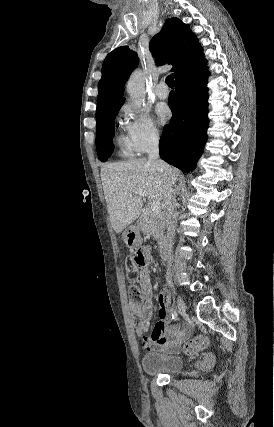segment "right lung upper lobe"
Returning a JSON list of instances; mask_svg holds the SVG:
<instances>
[{
	"mask_svg": "<svg viewBox=\"0 0 274 427\" xmlns=\"http://www.w3.org/2000/svg\"><path fill=\"white\" fill-rule=\"evenodd\" d=\"M150 51L160 65L172 64L175 80L206 60L197 37L178 18L166 20L162 30L150 42ZM137 53L128 46L114 49L103 62L102 78L98 84L96 113L113 106L124 98L123 86L130 73L138 66Z\"/></svg>",
	"mask_w": 274,
	"mask_h": 427,
	"instance_id": "1",
	"label": "right lung upper lobe"
}]
</instances>
